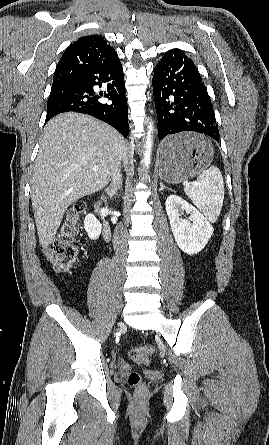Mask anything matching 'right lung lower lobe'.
Segmentation results:
<instances>
[{
	"label": "right lung lower lobe",
	"mask_w": 269,
	"mask_h": 445,
	"mask_svg": "<svg viewBox=\"0 0 269 445\" xmlns=\"http://www.w3.org/2000/svg\"><path fill=\"white\" fill-rule=\"evenodd\" d=\"M94 86H105L107 92L95 93ZM69 93L47 108V123L53 116L68 111L96 117L128 136V108L125 96L123 70L119 58L102 63L84 72L68 85ZM104 96L112 103H101Z\"/></svg>",
	"instance_id": "right-lung-lower-lobe-1"
}]
</instances>
